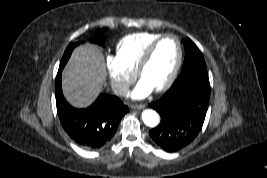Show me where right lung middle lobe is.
<instances>
[{
	"instance_id": "1",
	"label": "right lung middle lobe",
	"mask_w": 267,
	"mask_h": 178,
	"mask_svg": "<svg viewBox=\"0 0 267 178\" xmlns=\"http://www.w3.org/2000/svg\"><path fill=\"white\" fill-rule=\"evenodd\" d=\"M104 29L101 31V33H99L98 35H94L90 41L93 43H97L101 46H104V39L102 38V33H103ZM79 43H70L67 47V49L64 52V55L61 59L60 62V67H64L67 63V61L69 60L71 53L73 51V49L78 45Z\"/></svg>"
}]
</instances>
